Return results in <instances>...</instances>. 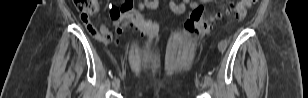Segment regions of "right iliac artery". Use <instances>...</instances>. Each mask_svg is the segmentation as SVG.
Segmentation results:
<instances>
[{
  "label": "right iliac artery",
  "instance_id": "right-iliac-artery-1",
  "mask_svg": "<svg viewBox=\"0 0 308 98\" xmlns=\"http://www.w3.org/2000/svg\"><path fill=\"white\" fill-rule=\"evenodd\" d=\"M118 81H119L118 79H114L113 85H114L116 82H118Z\"/></svg>",
  "mask_w": 308,
  "mask_h": 98
}]
</instances>
